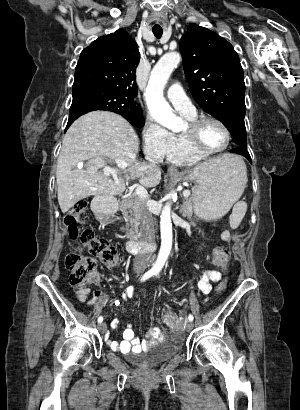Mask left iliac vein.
<instances>
[{
    "mask_svg": "<svg viewBox=\"0 0 300 410\" xmlns=\"http://www.w3.org/2000/svg\"><path fill=\"white\" fill-rule=\"evenodd\" d=\"M185 326H186L187 330H191L193 328L192 321H185Z\"/></svg>",
    "mask_w": 300,
    "mask_h": 410,
    "instance_id": "obj_1",
    "label": "left iliac vein"
}]
</instances>
